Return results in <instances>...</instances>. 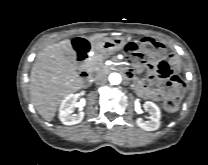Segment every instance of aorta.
Instances as JSON below:
<instances>
[{
    "label": "aorta",
    "mask_w": 208,
    "mask_h": 165,
    "mask_svg": "<svg viewBox=\"0 0 208 165\" xmlns=\"http://www.w3.org/2000/svg\"><path fill=\"white\" fill-rule=\"evenodd\" d=\"M109 81L113 85H118V84L121 83V75L119 73H116V72L111 73L109 75Z\"/></svg>",
    "instance_id": "aorta-1"
}]
</instances>
